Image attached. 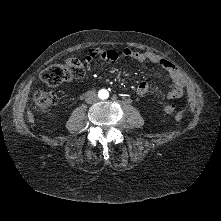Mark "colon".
<instances>
[{
	"label": "colon",
	"instance_id": "obj_1",
	"mask_svg": "<svg viewBox=\"0 0 221 221\" xmlns=\"http://www.w3.org/2000/svg\"><path fill=\"white\" fill-rule=\"evenodd\" d=\"M84 63L75 57L68 58L64 64H55L45 68L41 73V80L50 87L58 86L73 79L84 76ZM33 101L37 109L44 113L56 103V94L50 90H37L33 94ZM177 102L174 100L165 105L163 111L170 115L176 111Z\"/></svg>",
	"mask_w": 221,
	"mask_h": 221
}]
</instances>
